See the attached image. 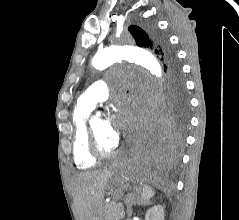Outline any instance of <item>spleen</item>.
Masks as SVG:
<instances>
[{
    "label": "spleen",
    "instance_id": "1",
    "mask_svg": "<svg viewBox=\"0 0 239 220\" xmlns=\"http://www.w3.org/2000/svg\"><path fill=\"white\" fill-rule=\"evenodd\" d=\"M142 194H141V200L142 201H149L150 198L154 196V190L152 187L142 184L141 186Z\"/></svg>",
    "mask_w": 239,
    "mask_h": 220
}]
</instances>
